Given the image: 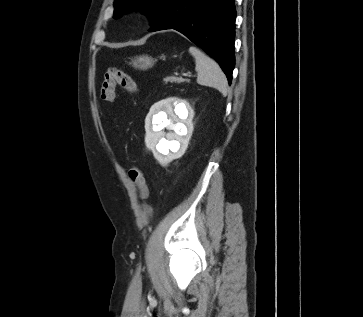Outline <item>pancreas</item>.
I'll use <instances>...</instances> for the list:
<instances>
[{
    "label": "pancreas",
    "mask_w": 363,
    "mask_h": 317,
    "mask_svg": "<svg viewBox=\"0 0 363 317\" xmlns=\"http://www.w3.org/2000/svg\"><path fill=\"white\" fill-rule=\"evenodd\" d=\"M163 81L167 84L168 82H171V83H173V82H175V83H181V82H184L185 80L182 79V78H179V77L168 76V77L164 78Z\"/></svg>",
    "instance_id": "obj_1"
}]
</instances>
